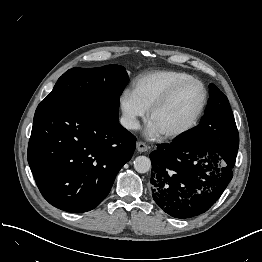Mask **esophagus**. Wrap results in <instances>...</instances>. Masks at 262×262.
<instances>
[{
    "mask_svg": "<svg viewBox=\"0 0 262 262\" xmlns=\"http://www.w3.org/2000/svg\"><path fill=\"white\" fill-rule=\"evenodd\" d=\"M136 149L138 152L143 153L148 150V146L144 142H137L136 143Z\"/></svg>",
    "mask_w": 262,
    "mask_h": 262,
    "instance_id": "1",
    "label": "esophagus"
}]
</instances>
